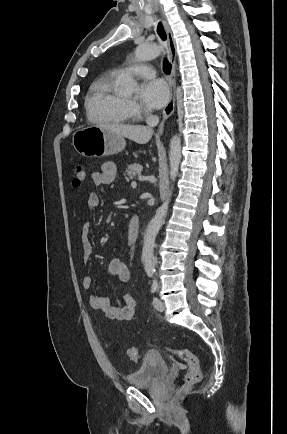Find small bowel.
Instances as JSON below:
<instances>
[{
	"instance_id": "1",
	"label": "small bowel",
	"mask_w": 287,
	"mask_h": 434,
	"mask_svg": "<svg viewBox=\"0 0 287 434\" xmlns=\"http://www.w3.org/2000/svg\"><path fill=\"white\" fill-rule=\"evenodd\" d=\"M116 167L111 162H105L101 165L99 171H95L91 175V180L94 185L102 186L108 185L115 181ZM100 205L99 196L96 193H90L87 196L86 208L89 211L96 210ZM91 229L90 223H86L83 227L82 235L80 238V246L82 252V258L84 262H87L93 254V248L89 237ZM107 275L115 278L121 283H125L130 279L131 273L126 262L120 258H114L107 269ZM93 286V278L85 276L82 279V287L85 290H90ZM89 303L95 310L103 312L107 318L118 321L131 320L136 311L137 301L131 294H124L122 298L114 302L109 297L101 296L97 293H91L89 295Z\"/></svg>"
}]
</instances>
